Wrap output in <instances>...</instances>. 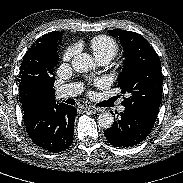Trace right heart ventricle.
I'll list each match as a JSON object with an SVG mask.
<instances>
[{"instance_id":"right-heart-ventricle-1","label":"right heart ventricle","mask_w":183,"mask_h":183,"mask_svg":"<svg viewBox=\"0 0 183 183\" xmlns=\"http://www.w3.org/2000/svg\"><path fill=\"white\" fill-rule=\"evenodd\" d=\"M89 46L97 60H111L119 50L118 43L107 35L93 37L89 42Z\"/></svg>"}]
</instances>
